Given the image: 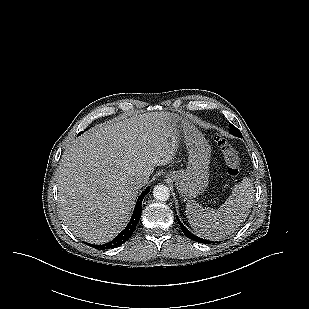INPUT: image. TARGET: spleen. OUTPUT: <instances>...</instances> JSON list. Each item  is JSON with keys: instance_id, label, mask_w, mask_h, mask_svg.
<instances>
[{"instance_id": "1", "label": "spleen", "mask_w": 309, "mask_h": 309, "mask_svg": "<svg viewBox=\"0 0 309 309\" xmlns=\"http://www.w3.org/2000/svg\"><path fill=\"white\" fill-rule=\"evenodd\" d=\"M254 192L251 179L244 178L234 186L232 194L217 210L187 203L188 222L200 237L210 240L226 238L248 217L254 201Z\"/></svg>"}]
</instances>
